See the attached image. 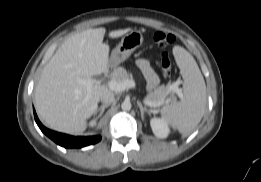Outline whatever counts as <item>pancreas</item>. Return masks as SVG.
<instances>
[{"label": "pancreas", "instance_id": "obj_1", "mask_svg": "<svg viewBox=\"0 0 261 182\" xmlns=\"http://www.w3.org/2000/svg\"><path fill=\"white\" fill-rule=\"evenodd\" d=\"M112 79L116 81L133 80L132 75L129 74L123 67H118L113 71ZM170 92L171 91L169 90V86H160L155 89L154 92L149 93L146 96V100L151 101L157 105H162L170 100L168 97Z\"/></svg>", "mask_w": 261, "mask_h": 182}]
</instances>
